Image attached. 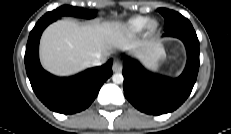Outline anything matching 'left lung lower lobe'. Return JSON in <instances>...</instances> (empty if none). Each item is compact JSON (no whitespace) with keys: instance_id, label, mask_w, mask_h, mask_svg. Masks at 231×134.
<instances>
[{"instance_id":"obj_1","label":"left lung lower lobe","mask_w":231,"mask_h":134,"mask_svg":"<svg viewBox=\"0 0 231 134\" xmlns=\"http://www.w3.org/2000/svg\"><path fill=\"white\" fill-rule=\"evenodd\" d=\"M164 36L179 38L187 50V64L176 79L147 72L128 57L123 62L124 95L141 112L160 115L176 110L190 95L199 70V41L192 25L178 27Z\"/></svg>"}]
</instances>
